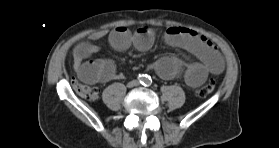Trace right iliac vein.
Instances as JSON below:
<instances>
[{"instance_id": "1", "label": "right iliac vein", "mask_w": 279, "mask_h": 148, "mask_svg": "<svg viewBox=\"0 0 279 148\" xmlns=\"http://www.w3.org/2000/svg\"><path fill=\"white\" fill-rule=\"evenodd\" d=\"M128 86H129V87H132V86H133V83H129Z\"/></svg>"}]
</instances>
